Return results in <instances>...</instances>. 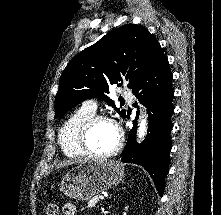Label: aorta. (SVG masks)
Listing matches in <instances>:
<instances>
[{
    "label": "aorta",
    "instance_id": "1",
    "mask_svg": "<svg viewBox=\"0 0 221 215\" xmlns=\"http://www.w3.org/2000/svg\"><path fill=\"white\" fill-rule=\"evenodd\" d=\"M147 131V119L146 114H144L139 121V127H138V138L142 140L144 136L146 135Z\"/></svg>",
    "mask_w": 221,
    "mask_h": 215
}]
</instances>
